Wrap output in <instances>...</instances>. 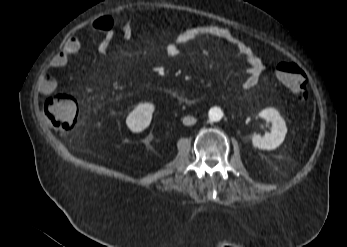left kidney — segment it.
<instances>
[{"label":"left kidney","mask_w":347,"mask_h":247,"mask_svg":"<svg viewBox=\"0 0 347 247\" xmlns=\"http://www.w3.org/2000/svg\"><path fill=\"white\" fill-rule=\"evenodd\" d=\"M259 116L272 123L271 132L265 134L264 137L254 134L252 143L262 150H274L284 141L287 133L285 121L274 108L262 110Z\"/></svg>","instance_id":"1"}]
</instances>
